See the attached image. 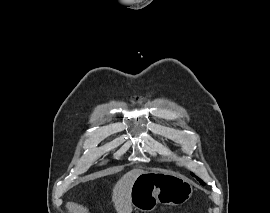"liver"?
I'll use <instances>...</instances> for the list:
<instances>
[{"instance_id": "6515ba94", "label": "liver", "mask_w": 270, "mask_h": 213, "mask_svg": "<svg viewBox=\"0 0 270 213\" xmlns=\"http://www.w3.org/2000/svg\"><path fill=\"white\" fill-rule=\"evenodd\" d=\"M145 173L140 169H133L124 174L115 184L112 191V201L117 213H131V189L136 178Z\"/></svg>"}]
</instances>
